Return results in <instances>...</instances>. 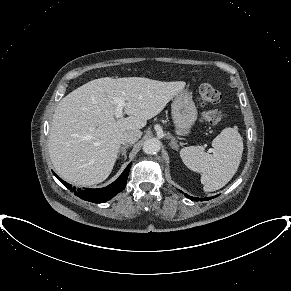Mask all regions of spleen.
Masks as SVG:
<instances>
[{"label":"spleen","mask_w":291,"mask_h":291,"mask_svg":"<svg viewBox=\"0 0 291 291\" xmlns=\"http://www.w3.org/2000/svg\"><path fill=\"white\" fill-rule=\"evenodd\" d=\"M214 153L209 154L196 146L184 147L180 157L192 171L201 173L205 192L224 187L236 173L243 153V141L237 127L225 128L212 141Z\"/></svg>","instance_id":"spleen-1"}]
</instances>
